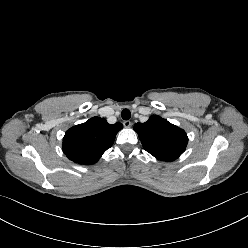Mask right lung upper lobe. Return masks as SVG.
Instances as JSON below:
<instances>
[{
	"mask_svg": "<svg viewBox=\"0 0 248 248\" xmlns=\"http://www.w3.org/2000/svg\"><path fill=\"white\" fill-rule=\"evenodd\" d=\"M122 124L107 123L104 118L93 117L83 124L71 127L63 138V152L73 162L90 165L97 162L109 149Z\"/></svg>",
	"mask_w": 248,
	"mask_h": 248,
	"instance_id": "obj_1",
	"label": "right lung upper lobe"
}]
</instances>
